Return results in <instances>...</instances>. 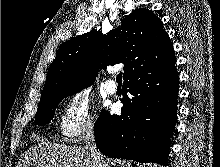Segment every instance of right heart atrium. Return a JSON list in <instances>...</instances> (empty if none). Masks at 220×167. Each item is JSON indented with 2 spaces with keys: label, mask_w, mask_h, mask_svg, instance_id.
Instances as JSON below:
<instances>
[{
  "label": "right heart atrium",
  "mask_w": 220,
  "mask_h": 167,
  "mask_svg": "<svg viewBox=\"0 0 220 167\" xmlns=\"http://www.w3.org/2000/svg\"><path fill=\"white\" fill-rule=\"evenodd\" d=\"M94 129L92 106L89 96L75 91L65 101L58 119V131L67 142H75Z\"/></svg>",
  "instance_id": "d8ad5b80"
}]
</instances>
